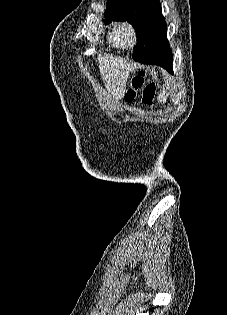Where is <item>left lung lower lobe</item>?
I'll list each match as a JSON object with an SVG mask.
<instances>
[{"label":"left lung lower lobe","mask_w":227,"mask_h":315,"mask_svg":"<svg viewBox=\"0 0 227 315\" xmlns=\"http://www.w3.org/2000/svg\"><path fill=\"white\" fill-rule=\"evenodd\" d=\"M133 59L144 64H156L172 73V55L163 51L158 42L148 37L137 43Z\"/></svg>","instance_id":"obj_1"}]
</instances>
